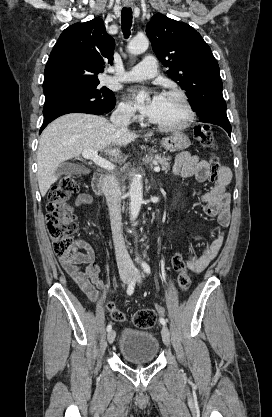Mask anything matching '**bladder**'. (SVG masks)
Wrapping results in <instances>:
<instances>
[{
    "label": "bladder",
    "instance_id": "bladder-1",
    "mask_svg": "<svg viewBox=\"0 0 272 417\" xmlns=\"http://www.w3.org/2000/svg\"><path fill=\"white\" fill-rule=\"evenodd\" d=\"M159 350V340L153 333L133 328H125L122 331L119 351L127 362L133 364L153 362Z\"/></svg>",
    "mask_w": 272,
    "mask_h": 417
}]
</instances>
